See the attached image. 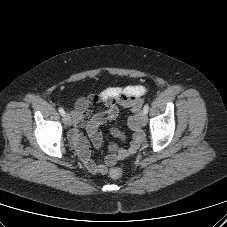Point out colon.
I'll list each match as a JSON object with an SVG mask.
<instances>
[{
  "label": "colon",
  "instance_id": "1",
  "mask_svg": "<svg viewBox=\"0 0 227 227\" xmlns=\"http://www.w3.org/2000/svg\"><path fill=\"white\" fill-rule=\"evenodd\" d=\"M109 175L112 179H119L123 175V169L121 167H114L110 170Z\"/></svg>",
  "mask_w": 227,
  "mask_h": 227
}]
</instances>
